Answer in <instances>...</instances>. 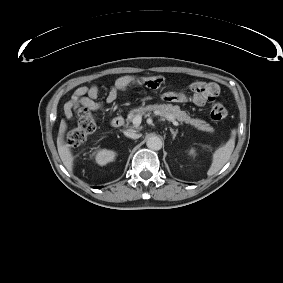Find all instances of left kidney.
Listing matches in <instances>:
<instances>
[{
  "label": "left kidney",
  "mask_w": 283,
  "mask_h": 283,
  "mask_svg": "<svg viewBox=\"0 0 283 283\" xmlns=\"http://www.w3.org/2000/svg\"><path fill=\"white\" fill-rule=\"evenodd\" d=\"M191 153L193 154V153H194V151H193V150H191Z\"/></svg>",
  "instance_id": "5707ae66"
}]
</instances>
